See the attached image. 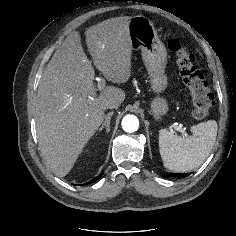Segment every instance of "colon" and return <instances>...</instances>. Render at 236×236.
<instances>
[{"label":"colon","mask_w":236,"mask_h":236,"mask_svg":"<svg viewBox=\"0 0 236 236\" xmlns=\"http://www.w3.org/2000/svg\"><path fill=\"white\" fill-rule=\"evenodd\" d=\"M168 47L174 52L180 77L190 91L194 106L193 117L203 120L209 116L214 98L203 73L196 66V57L177 39H171Z\"/></svg>","instance_id":"obj_1"}]
</instances>
